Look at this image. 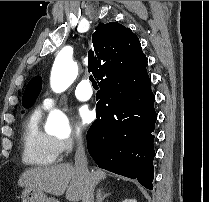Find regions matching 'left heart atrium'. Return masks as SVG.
<instances>
[{
	"instance_id": "1",
	"label": "left heart atrium",
	"mask_w": 209,
	"mask_h": 202,
	"mask_svg": "<svg viewBox=\"0 0 209 202\" xmlns=\"http://www.w3.org/2000/svg\"><path fill=\"white\" fill-rule=\"evenodd\" d=\"M94 118V112L87 107H82L78 110V113L75 117L74 126L77 130L86 127L92 122Z\"/></svg>"
}]
</instances>
